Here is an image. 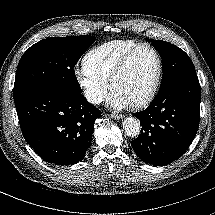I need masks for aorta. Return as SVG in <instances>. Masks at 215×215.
Returning <instances> with one entry per match:
<instances>
[{
	"label": "aorta",
	"instance_id": "obj_1",
	"mask_svg": "<svg viewBox=\"0 0 215 215\" xmlns=\"http://www.w3.org/2000/svg\"><path fill=\"white\" fill-rule=\"evenodd\" d=\"M123 129L127 136L137 137L141 130L139 120L135 118H126L123 122Z\"/></svg>",
	"mask_w": 215,
	"mask_h": 215
}]
</instances>
